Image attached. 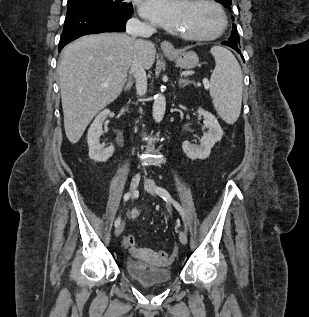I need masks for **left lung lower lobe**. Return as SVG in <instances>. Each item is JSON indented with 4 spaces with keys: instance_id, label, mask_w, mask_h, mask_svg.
<instances>
[{
    "instance_id": "obj_1",
    "label": "left lung lower lobe",
    "mask_w": 309,
    "mask_h": 317,
    "mask_svg": "<svg viewBox=\"0 0 309 317\" xmlns=\"http://www.w3.org/2000/svg\"><path fill=\"white\" fill-rule=\"evenodd\" d=\"M222 44L229 46V47L233 48L234 50H236L238 53H240L239 45L234 44V43L229 42V41H224V42H222ZM241 57L243 58L242 54H241ZM243 60H244V58H243Z\"/></svg>"
}]
</instances>
